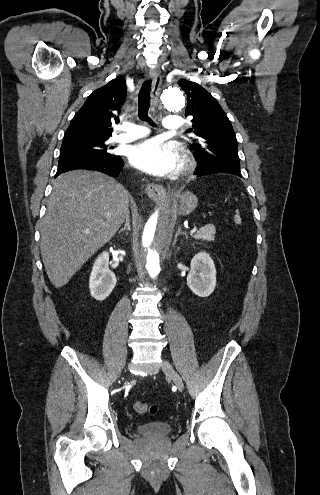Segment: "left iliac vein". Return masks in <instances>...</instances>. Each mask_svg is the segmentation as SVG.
<instances>
[{
    "mask_svg": "<svg viewBox=\"0 0 320 495\" xmlns=\"http://www.w3.org/2000/svg\"><path fill=\"white\" fill-rule=\"evenodd\" d=\"M162 371L172 379L174 384L177 386L179 390H183L184 384L180 375L176 372L173 366L167 361L163 360L162 362Z\"/></svg>",
    "mask_w": 320,
    "mask_h": 495,
    "instance_id": "1",
    "label": "left iliac vein"
}]
</instances>
